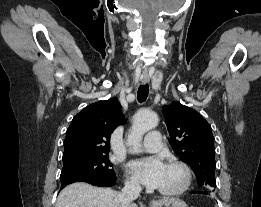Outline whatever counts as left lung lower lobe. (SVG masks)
<instances>
[{
  "mask_svg": "<svg viewBox=\"0 0 261 207\" xmlns=\"http://www.w3.org/2000/svg\"><path fill=\"white\" fill-rule=\"evenodd\" d=\"M192 193L205 194V192H192Z\"/></svg>",
  "mask_w": 261,
  "mask_h": 207,
  "instance_id": "left-lung-lower-lobe-1",
  "label": "left lung lower lobe"
}]
</instances>
